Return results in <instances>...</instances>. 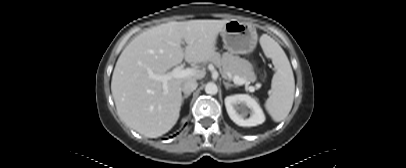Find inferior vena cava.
<instances>
[{
    "label": "inferior vena cava",
    "mask_w": 406,
    "mask_h": 168,
    "mask_svg": "<svg viewBox=\"0 0 406 168\" xmlns=\"http://www.w3.org/2000/svg\"><path fill=\"white\" fill-rule=\"evenodd\" d=\"M197 86H198L197 81L194 79H191V80L185 81L182 84V91L184 94H191L194 90H196Z\"/></svg>",
    "instance_id": "1"
}]
</instances>
